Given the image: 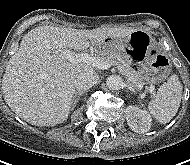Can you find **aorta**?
Returning <instances> with one entry per match:
<instances>
[{
	"label": "aorta",
	"mask_w": 190,
	"mask_h": 165,
	"mask_svg": "<svg viewBox=\"0 0 190 165\" xmlns=\"http://www.w3.org/2000/svg\"><path fill=\"white\" fill-rule=\"evenodd\" d=\"M106 85L111 90H119L123 86V80L120 76L111 75L106 79Z\"/></svg>",
	"instance_id": "762f6f07"
}]
</instances>
